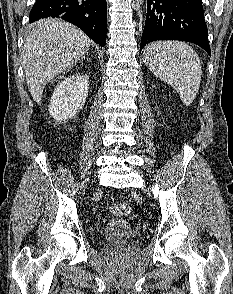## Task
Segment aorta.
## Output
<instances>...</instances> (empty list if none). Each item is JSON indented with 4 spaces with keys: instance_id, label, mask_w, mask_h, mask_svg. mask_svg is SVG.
I'll use <instances>...</instances> for the list:
<instances>
[{
    "instance_id": "1",
    "label": "aorta",
    "mask_w": 233,
    "mask_h": 294,
    "mask_svg": "<svg viewBox=\"0 0 233 294\" xmlns=\"http://www.w3.org/2000/svg\"><path fill=\"white\" fill-rule=\"evenodd\" d=\"M144 0H135V8L140 9Z\"/></svg>"
}]
</instances>
